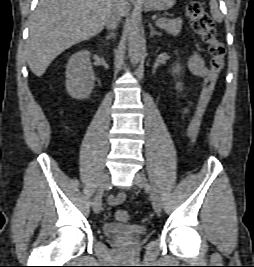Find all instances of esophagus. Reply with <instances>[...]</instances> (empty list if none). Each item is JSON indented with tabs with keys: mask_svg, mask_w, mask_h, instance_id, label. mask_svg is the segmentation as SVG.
I'll return each instance as SVG.
<instances>
[{
	"mask_svg": "<svg viewBox=\"0 0 254 267\" xmlns=\"http://www.w3.org/2000/svg\"><path fill=\"white\" fill-rule=\"evenodd\" d=\"M130 1H132V2H140L142 0H130Z\"/></svg>",
	"mask_w": 254,
	"mask_h": 267,
	"instance_id": "obj_1",
	"label": "esophagus"
}]
</instances>
